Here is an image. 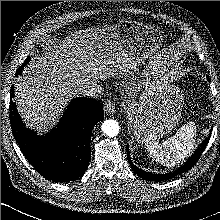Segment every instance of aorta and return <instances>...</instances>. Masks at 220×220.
I'll list each match as a JSON object with an SVG mask.
<instances>
[{"label":"aorta","instance_id":"1","mask_svg":"<svg viewBox=\"0 0 220 220\" xmlns=\"http://www.w3.org/2000/svg\"><path fill=\"white\" fill-rule=\"evenodd\" d=\"M101 128L104 134L108 135L109 137L117 136L120 129L118 122L112 119L105 120Z\"/></svg>","mask_w":220,"mask_h":220}]
</instances>
